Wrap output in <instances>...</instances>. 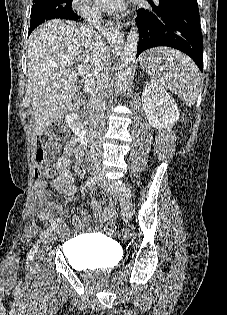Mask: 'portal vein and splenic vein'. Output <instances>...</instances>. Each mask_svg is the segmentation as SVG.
<instances>
[{"label":"portal vein and splenic vein","instance_id":"portal-vein-and-splenic-vein-1","mask_svg":"<svg viewBox=\"0 0 227 315\" xmlns=\"http://www.w3.org/2000/svg\"><path fill=\"white\" fill-rule=\"evenodd\" d=\"M78 74L85 79V83L87 84V86L91 85L93 79L89 71L84 66H78Z\"/></svg>","mask_w":227,"mask_h":315}]
</instances>
